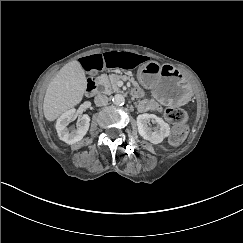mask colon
<instances>
[{"mask_svg":"<svg viewBox=\"0 0 243 243\" xmlns=\"http://www.w3.org/2000/svg\"><path fill=\"white\" fill-rule=\"evenodd\" d=\"M167 120L174 125L169 142L178 145L184 141L188 133L187 114L183 109L169 107L165 110Z\"/></svg>","mask_w":243,"mask_h":243,"instance_id":"1","label":"colon"}]
</instances>
